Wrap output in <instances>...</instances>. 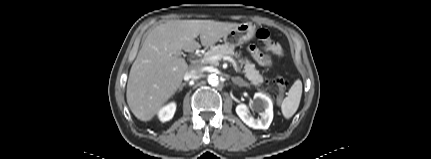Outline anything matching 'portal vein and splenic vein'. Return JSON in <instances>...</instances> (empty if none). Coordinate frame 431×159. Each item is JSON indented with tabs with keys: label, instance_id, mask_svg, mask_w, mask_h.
<instances>
[{
	"label": "portal vein and splenic vein",
	"instance_id": "portal-vein-and-splenic-vein-1",
	"mask_svg": "<svg viewBox=\"0 0 431 159\" xmlns=\"http://www.w3.org/2000/svg\"><path fill=\"white\" fill-rule=\"evenodd\" d=\"M221 59L231 62L233 64V66L235 67V69H237V65H236L235 60L230 56H221V55L205 56L202 59V62L216 63L218 60H221Z\"/></svg>",
	"mask_w": 431,
	"mask_h": 159
}]
</instances>
